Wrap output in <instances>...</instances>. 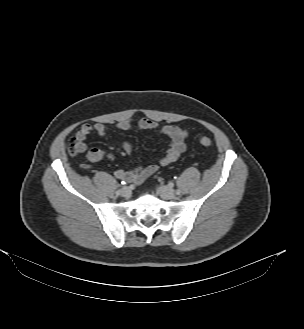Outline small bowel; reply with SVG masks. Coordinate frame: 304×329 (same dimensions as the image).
<instances>
[{"label":"small bowel","instance_id":"1","mask_svg":"<svg viewBox=\"0 0 304 329\" xmlns=\"http://www.w3.org/2000/svg\"><path fill=\"white\" fill-rule=\"evenodd\" d=\"M134 127L141 130H158L169 138L170 147L166 154L160 159V165L165 166L171 164L185 150V139L188 136V132L178 126L164 125L160 127L155 121L148 118H142L136 123L132 120H122L117 124V128L121 131H129ZM93 131L101 137H106L108 134L107 127L102 123H96L94 125L88 123L83 124L74 137L80 144V152L85 150V140ZM123 149L127 154L132 153V146L129 142L123 143ZM87 158L90 162L96 163L105 158H112V156L99 148H91L87 152ZM157 169L158 165L151 163L134 169H118L114 172V175L116 178L123 181L141 183L155 173Z\"/></svg>","mask_w":304,"mask_h":329}]
</instances>
